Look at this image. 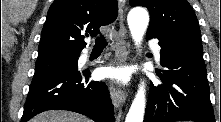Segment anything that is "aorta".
I'll list each match as a JSON object with an SVG mask.
<instances>
[{
	"instance_id": "aorta-1",
	"label": "aorta",
	"mask_w": 221,
	"mask_h": 122,
	"mask_svg": "<svg viewBox=\"0 0 221 122\" xmlns=\"http://www.w3.org/2000/svg\"><path fill=\"white\" fill-rule=\"evenodd\" d=\"M132 39L136 46H140L149 24L148 12L142 7L133 8L127 17ZM145 84L141 82L135 98L131 104L125 122H143L145 112Z\"/></svg>"
}]
</instances>
